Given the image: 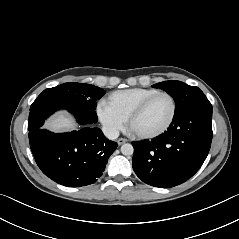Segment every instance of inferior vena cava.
Listing matches in <instances>:
<instances>
[{
  "instance_id": "obj_1",
  "label": "inferior vena cava",
  "mask_w": 239,
  "mask_h": 239,
  "mask_svg": "<svg viewBox=\"0 0 239 239\" xmlns=\"http://www.w3.org/2000/svg\"><path fill=\"white\" fill-rule=\"evenodd\" d=\"M102 131L104 135L110 140H115L119 136V130L115 126L109 124L103 125Z\"/></svg>"
}]
</instances>
